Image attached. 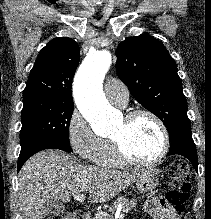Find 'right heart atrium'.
<instances>
[{"label": "right heart atrium", "mask_w": 211, "mask_h": 219, "mask_svg": "<svg viewBox=\"0 0 211 219\" xmlns=\"http://www.w3.org/2000/svg\"><path fill=\"white\" fill-rule=\"evenodd\" d=\"M67 139L74 153L90 162L95 161L105 143L77 110H74L69 118Z\"/></svg>", "instance_id": "right-heart-atrium-1"}]
</instances>
